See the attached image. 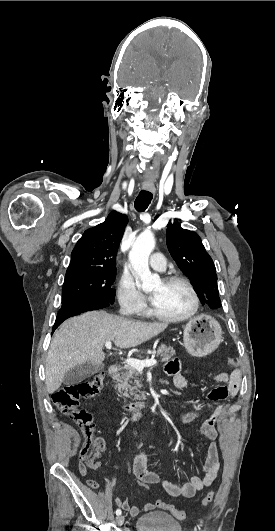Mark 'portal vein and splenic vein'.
Returning <instances> with one entry per match:
<instances>
[{
    "label": "portal vein and splenic vein",
    "mask_w": 275,
    "mask_h": 531,
    "mask_svg": "<svg viewBox=\"0 0 275 531\" xmlns=\"http://www.w3.org/2000/svg\"><path fill=\"white\" fill-rule=\"evenodd\" d=\"M105 347L106 349H112L111 341L105 343ZM124 363H126V365H131V367H135V369H144V367H153V365H156L157 361L156 359H145V361H138V359H125Z\"/></svg>",
    "instance_id": "obj_1"
}]
</instances>
